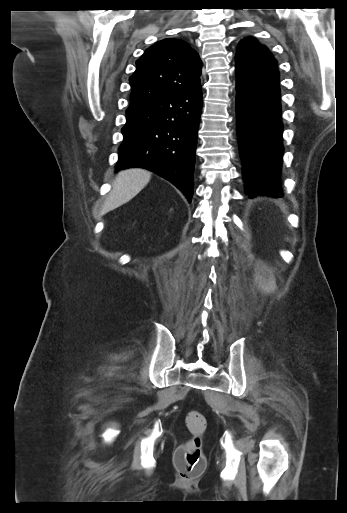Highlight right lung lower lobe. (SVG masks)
Listing matches in <instances>:
<instances>
[{
  "instance_id": "1",
  "label": "right lung lower lobe",
  "mask_w": 347,
  "mask_h": 513,
  "mask_svg": "<svg viewBox=\"0 0 347 513\" xmlns=\"http://www.w3.org/2000/svg\"><path fill=\"white\" fill-rule=\"evenodd\" d=\"M201 110V89L131 105L116 171L149 169L173 183L191 202Z\"/></svg>"
}]
</instances>
